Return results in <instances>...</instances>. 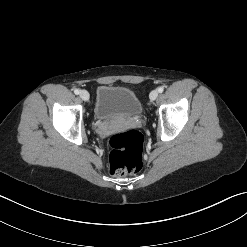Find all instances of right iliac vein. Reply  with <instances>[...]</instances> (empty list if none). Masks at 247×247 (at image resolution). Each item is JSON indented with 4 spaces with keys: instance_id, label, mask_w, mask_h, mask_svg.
Returning a JSON list of instances; mask_svg holds the SVG:
<instances>
[{
    "instance_id": "obj_1",
    "label": "right iliac vein",
    "mask_w": 247,
    "mask_h": 247,
    "mask_svg": "<svg viewBox=\"0 0 247 247\" xmlns=\"http://www.w3.org/2000/svg\"><path fill=\"white\" fill-rule=\"evenodd\" d=\"M80 98L84 101H88L89 100V93L86 90H81L80 91Z\"/></svg>"
}]
</instances>
